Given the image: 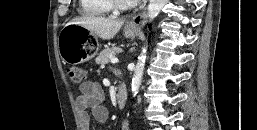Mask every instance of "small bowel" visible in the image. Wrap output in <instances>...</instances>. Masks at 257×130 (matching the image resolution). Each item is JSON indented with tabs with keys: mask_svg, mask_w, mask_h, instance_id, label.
<instances>
[{
	"mask_svg": "<svg viewBox=\"0 0 257 130\" xmlns=\"http://www.w3.org/2000/svg\"><path fill=\"white\" fill-rule=\"evenodd\" d=\"M80 94L76 99V106L79 111V119L82 130H92L91 116L88 110H91L92 116L98 123H105L108 119V109L102 104L104 93L97 82L86 81L79 87ZM123 130H129L127 125Z\"/></svg>",
	"mask_w": 257,
	"mask_h": 130,
	"instance_id": "small-bowel-1",
	"label": "small bowel"
}]
</instances>
